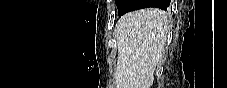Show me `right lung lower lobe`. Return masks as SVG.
Wrapping results in <instances>:
<instances>
[{
  "label": "right lung lower lobe",
  "mask_w": 227,
  "mask_h": 88,
  "mask_svg": "<svg viewBox=\"0 0 227 88\" xmlns=\"http://www.w3.org/2000/svg\"><path fill=\"white\" fill-rule=\"evenodd\" d=\"M170 4V0H131L119 16L141 8L157 7L166 10Z\"/></svg>",
  "instance_id": "98d812e1"
}]
</instances>
